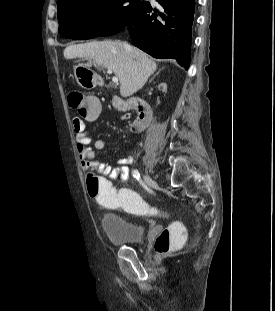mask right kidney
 Wrapping results in <instances>:
<instances>
[{
	"label": "right kidney",
	"instance_id": "ca27d5eb",
	"mask_svg": "<svg viewBox=\"0 0 275 311\" xmlns=\"http://www.w3.org/2000/svg\"><path fill=\"white\" fill-rule=\"evenodd\" d=\"M166 92H167L166 83H161L158 85V90H153L152 95L153 97H159L161 100H166L168 98Z\"/></svg>",
	"mask_w": 275,
	"mask_h": 311
}]
</instances>
